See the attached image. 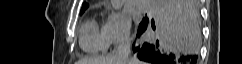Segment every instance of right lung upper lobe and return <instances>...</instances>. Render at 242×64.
<instances>
[{"instance_id": "obj_1", "label": "right lung upper lobe", "mask_w": 242, "mask_h": 64, "mask_svg": "<svg viewBox=\"0 0 242 64\" xmlns=\"http://www.w3.org/2000/svg\"><path fill=\"white\" fill-rule=\"evenodd\" d=\"M88 7V4L87 3H83V6L81 8V12L82 11H85V9Z\"/></svg>"}]
</instances>
